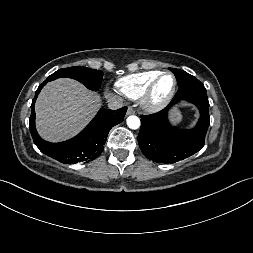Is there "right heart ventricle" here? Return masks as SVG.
Listing matches in <instances>:
<instances>
[{
  "instance_id": "right-heart-ventricle-1",
  "label": "right heart ventricle",
  "mask_w": 253,
  "mask_h": 253,
  "mask_svg": "<svg viewBox=\"0 0 253 253\" xmlns=\"http://www.w3.org/2000/svg\"><path fill=\"white\" fill-rule=\"evenodd\" d=\"M160 73L155 70L130 74L118 79L116 86L125 97L135 100L143 95L149 83Z\"/></svg>"
}]
</instances>
